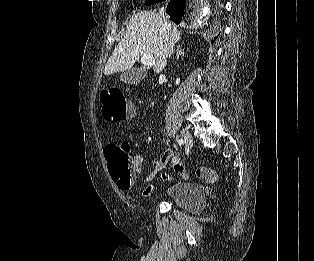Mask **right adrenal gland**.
Here are the masks:
<instances>
[{"instance_id":"right-adrenal-gland-1","label":"right adrenal gland","mask_w":314,"mask_h":261,"mask_svg":"<svg viewBox=\"0 0 314 261\" xmlns=\"http://www.w3.org/2000/svg\"><path fill=\"white\" fill-rule=\"evenodd\" d=\"M184 54H185L184 50H182V49H181V46L178 45V47H177V54H176V60H178L179 57H180L181 55L183 56Z\"/></svg>"}]
</instances>
